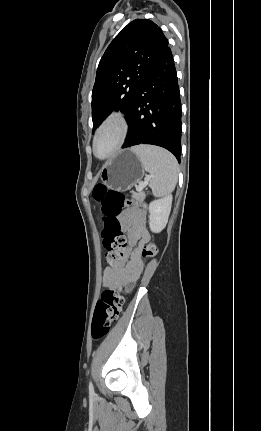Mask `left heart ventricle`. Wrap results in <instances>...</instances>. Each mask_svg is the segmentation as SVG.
Listing matches in <instances>:
<instances>
[{"label":"left heart ventricle","mask_w":261,"mask_h":431,"mask_svg":"<svg viewBox=\"0 0 261 431\" xmlns=\"http://www.w3.org/2000/svg\"><path fill=\"white\" fill-rule=\"evenodd\" d=\"M118 139V129L110 126L103 130L96 142V153L99 156L108 154L115 146Z\"/></svg>","instance_id":"b2bd125f"}]
</instances>
